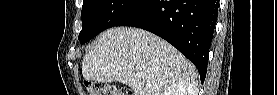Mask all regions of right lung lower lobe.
Listing matches in <instances>:
<instances>
[{
  "label": "right lung lower lobe",
  "mask_w": 277,
  "mask_h": 95,
  "mask_svg": "<svg viewBox=\"0 0 277 95\" xmlns=\"http://www.w3.org/2000/svg\"><path fill=\"white\" fill-rule=\"evenodd\" d=\"M218 6V0H143L116 26L138 27L162 37L197 67L204 82Z\"/></svg>",
  "instance_id": "right-lung-lower-lobe-1"
}]
</instances>
